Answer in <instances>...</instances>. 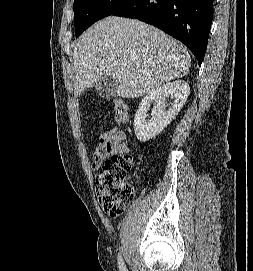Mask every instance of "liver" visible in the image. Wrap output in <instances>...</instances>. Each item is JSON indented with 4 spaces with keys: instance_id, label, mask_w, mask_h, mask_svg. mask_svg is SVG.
<instances>
[{
    "instance_id": "liver-1",
    "label": "liver",
    "mask_w": 253,
    "mask_h": 271,
    "mask_svg": "<svg viewBox=\"0 0 253 271\" xmlns=\"http://www.w3.org/2000/svg\"><path fill=\"white\" fill-rule=\"evenodd\" d=\"M74 90L80 95L102 77L118 82L117 93L137 98L186 75L188 50L163 31L135 19L106 17L83 33L74 46Z\"/></svg>"
}]
</instances>
